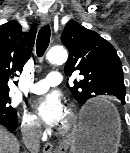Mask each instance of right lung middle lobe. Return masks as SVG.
I'll list each match as a JSON object with an SVG mask.
<instances>
[{"label":"right lung middle lobe","mask_w":130,"mask_h":153,"mask_svg":"<svg viewBox=\"0 0 130 153\" xmlns=\"http://www.w3.org/2000/svg\"><path fill=\"white\" fill-rule=\"evenodd\" d=\"M9 100L8 92H0V110L8 114L15 115L17 114L16 110L11 106H8V104H10Z\"/></svg>","instance_id":"dd1d6c3e"}]
</instances>
